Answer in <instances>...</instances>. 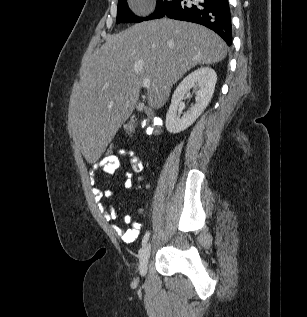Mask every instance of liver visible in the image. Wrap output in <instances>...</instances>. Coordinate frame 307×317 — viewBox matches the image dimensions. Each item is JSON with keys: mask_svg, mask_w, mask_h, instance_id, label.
<instances>
[{"mask_svg": "<svg viewBox=\"0 0 307 317\" xmlns=\"http://www.w3.org/2000/svg\"><path fill=\"white\" fill-rule=\"evenodd\" d=\"M226 55V43L210 29L167 18L107 36L87 64L69 106L73 137L86 160L96 162L129 118L143 80H150L148 104L160 108L188 70Z\"/></svg>", "mask_w": 307, "mask_h": 317, "instance_id": "liver-1", "label": "liver"}]
</instances>
